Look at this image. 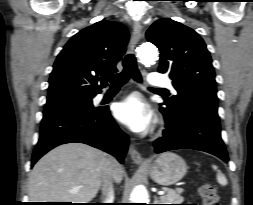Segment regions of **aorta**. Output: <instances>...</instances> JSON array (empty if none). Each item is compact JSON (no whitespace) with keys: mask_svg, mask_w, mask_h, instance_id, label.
Segmentation results:
<instances>
[{"mask_svg":"<svg viewBox=\"0 0 253 205\" xmlns=\"http://www.w3.org/2000/svg\"><path fill=\"white\" fill-rule=\"evenodd\" d=\"M138 55L141 62L146 65L150 66L155 64L156 60L158 59V51L154 44L152 43H143L138 50ZM147 198L143 194H135L132 198V203H146Z\"/></svg>","mask_w":253,"mask_h":205,"instance_id":"aorta-1","label":"aorta"}]
</instances>
